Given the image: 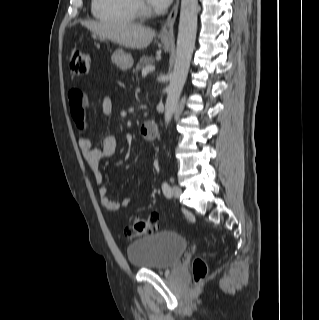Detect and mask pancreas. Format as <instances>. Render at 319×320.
<instances>
[{
    "mask_svg": "<svg viewBox=\"0 0 319 320\" xmlns=\"http://www.w3.org/2000/svg\"><path fill=\"white\" fill-rule=\"evenodd\" d=\"M154 63V59L153 57H149V56H143L140 61L137 63L136 68L133 69V73H137L138 71H140L141 69L147 67V66H151Z\"/></svg>",
    "mask_w": 319,
    "mask_h": 320,
    "instance_id": "pancreas-1",
    "label": "pancreas"
}]
</instances>
